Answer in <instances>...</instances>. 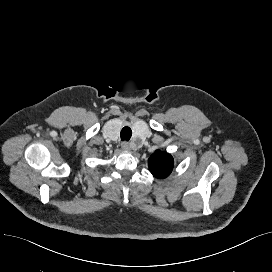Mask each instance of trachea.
<instances>
[{
    "label": "trachea",
    "mask_w": 272,
    "mask_h": 272,
    "mask_svg": "<svg viewBox=\"0 0 272 272\" xmlns=\"http://www.w3.org/2000/svg\"><path fill=\"white\" fill-rule=\"evenodd\" d=\"M132 136V130L130 127L125 126L120 132V137L122 141H129Z\"/></svg>",
    "instance_id": "obj_1"
}]
</instances>
